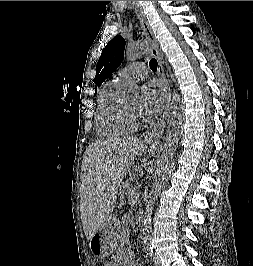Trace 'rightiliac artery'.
Instances as JSON below:
<instances>
[{
    "instance_id": "obj_1",
    "label": "right iliac artery",
    "mask_w": 253,
    "mask_h": 266,
    "mask_svg": "<svg viewBox=\"0 0 253 266\" xmlns=\"http://www.w3.org/2000/svg\"><path fill=\"white\" fill-rule=\"evenodd\" d=\"M149 254H150V256L154 259L153 248H150V249H149Z\"/></svg>"
}]
</instances>
